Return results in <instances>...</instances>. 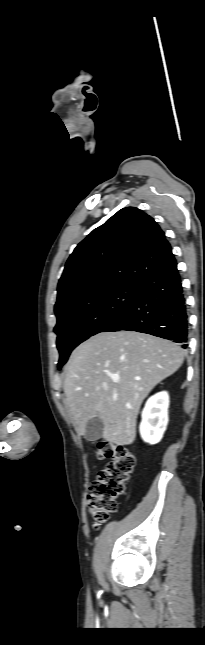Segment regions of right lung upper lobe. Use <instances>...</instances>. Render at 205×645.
Segmentation results:
<instances>
[{"label": "right lung upper lobe", "instance_id": "right-lung-upper-lobe-1", "mask_svg": "<svg viewBox=\"0 0 205 645\" xmlns=\"http://www.w3.org/2000/svg\"><path fill=\"white\" fill-rule=\"evenodd\" d=\"M176 262L164 232L135 207L119 210L70 255L58 283L55 313L77 300L124 284H139Z\"/></svg>", "mask_w": 205, "mask_h": 645}]
</instances>
